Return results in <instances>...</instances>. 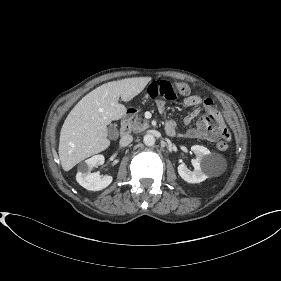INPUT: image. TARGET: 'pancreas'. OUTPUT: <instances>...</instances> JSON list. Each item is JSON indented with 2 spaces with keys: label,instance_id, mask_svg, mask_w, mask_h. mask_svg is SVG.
I'll use <instances>...</instances> for the list:
<instances>
[{
  "label": "pancreas",
  "instance_id": "pancreas-1",
  "mask_svg": "<svg viewBox=\"0 0 281 281\" xmlns=\"http://www.w3.org/2000/svg\"><path fill=\"white\" fill-rule=\"evenodd\" d=\"M128 130L135 133L142 132L149 128V123L146 119L141 116H136L134 119H131L127 122Z\"/></svg>",
  "mask_w": 281,
  "mask_h": 281
}]
</instances>
